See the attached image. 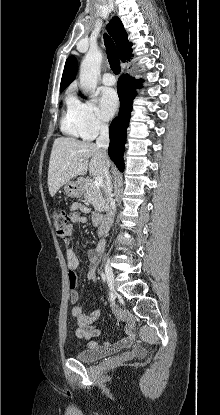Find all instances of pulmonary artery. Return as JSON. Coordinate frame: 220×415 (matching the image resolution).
Segmentation results:
<instances>
[{
	"instance_id": "1",
	"label": "pulmonary artery",
	"mask_w": 220,
	"mask_h": 415,
	"mask_svg": "<svg viewBox=\"0 0 220 415\" xmlns=\"http://www.w3.org/2000/svg\"><path fill=\"white\" fill-rule=\"evenodd\" d=\"M102 83L107 86H112L116 83V78L114 74L107 72L102 76Z\"/></svg>"
}]
</instances>
